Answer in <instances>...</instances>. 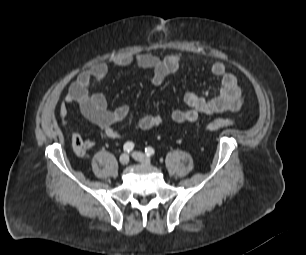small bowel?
I'll return each instance as SVG.
<instances>
[{
	"label": "small bowel",
	"mask_w": 306,
	"mask_h": 255,
	"mask_svg": "<svg viewBox=\"0 0 306 255\" xmlns=\"http://www.w3.org/2000/svg\"><path fill=\"white\" fill-rule=\"evenodd\" d=\"M181 53L169 54L164 57L147 53L142 55H124L114 60L118 67L134 66L152 71V82L162 84L166 78L178 72L182 66ZM211 73L220 79V88L216 92L197 94L188 92L184 96L186 108L175 109L171 118L174 122L193 123L200 114H215L225 111H237L242 105L243 90L234 74L229 73L222 62H215L210 67ZM108 73L104 63H97L89 69L83 70L69 87L64 101L60 104L59 115L62 121L68 114V104H77L82 115L91 123L100 128L111 139L121 136L116 126L130 114V106L120 105L114 109L108 107L105 96L101 93H91L93 85L102 81ZM163 117L159 114H145L138 120L141 130H150L161 125ZM91 148L94 142L86 140Z\"/></svg>",
	"instance_id": "obj_1"
}]
</instances>
